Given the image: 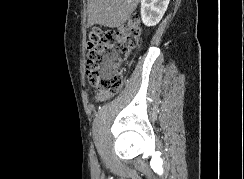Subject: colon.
I'll return each mask as SVG.
<instances>
[{
	"mask_svg": "<svg viewBox=\"0 0 244 179\" xmlns=\"http://www.w3.org/2000/svg\"><path fill=\"white\" fill-rule=\"evenodd\" d=\"M142 43V27L132 20L105 31L95 27L88 33L86 73L90 84L102 93L116 94L122 85L119 67Z\"/></svg>",
	"mask_w": 244,
	"mask_h": 179,
	"instance_id": "colon-1",
	"label": "colon"
}]
</instances>
